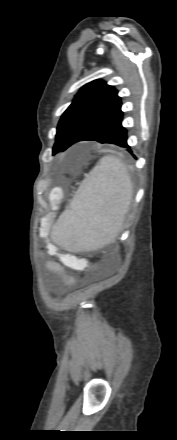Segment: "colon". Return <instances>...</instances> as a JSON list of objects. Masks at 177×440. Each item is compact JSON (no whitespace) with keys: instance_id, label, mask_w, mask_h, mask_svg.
I'll return each mask as SVG.
<instances>
[{"instance_id":"colon-1","label":"colon","mask_w":177,"mask_h":440,"mask_svg":"<svg viewBox=\"0 0 177 440\" xmlns=\"http://www.w3.org/2000/svg\"><path fill=\"white\" fill-rule=\"evenodd\" d=\"M50 198H51V202L55 205L57 203L58 198H59V194L58 193H52ZM67 278L69 280H71L69 277H67Z\"/></svg>"}]
</instances>
